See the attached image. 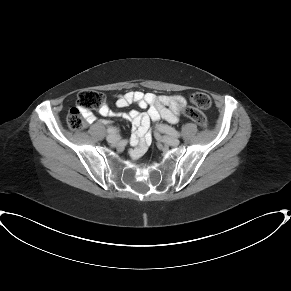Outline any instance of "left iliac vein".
Listing matches in <instances>:
<instances>
[{
  "mask_svg": "<svg viewBox=\"0 0 291 291\" xmlns=\"http://www.w3.org/2000/svg\"><path fill=\"white\" fill-rule=\"evenodd\" d=\"M158 130L161 132V133H166L165 131V126L164 125H160L158 127ZM163 140L165 143H167L168 145H171V146H177L179 144V140L171 135H164L163 136Z\"/></svg>",
  "mask_w": 291,
  "mask_h": 291,
  "instance_id": "left-iliac-vein-1",
  "label": "left iliac vein"
}]
</instances>
